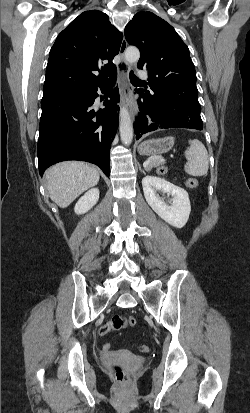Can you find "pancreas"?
Here are the masks:
<instances>
[{
	"label": "pancreas",
	"instance_id": "obj_1",
	"mask_svg": "<svg viewBox=\"0 0 250 413\" xmlns=\"http://www.w3.org/2000/svg\"><path fill=\"white\" fill-rule=\"evenodd\" d=\"M162 162H163V161L153 160V161L149 164L148 170H151L153 167L159 166ZM164 169H165V172H166V171H167L166 168H164ZM165 172H164V173H160V174L163 175V174H165Z\"/></svg>",
	"mask_w": 250,
	"mask_h": 413
}]
</instances>
